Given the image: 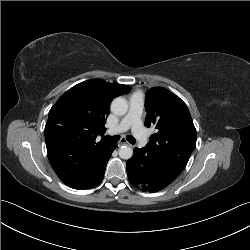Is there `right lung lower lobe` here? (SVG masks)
Returning a JSON list of instances; mask_svg holds the SVG:
<instances>
[{
	"label": "right lung lower lobe",
	"instance_id": "98d812e1",
	"mask_svg": "<svg viewBox=\"0 0 250 250\" xmlns=\"http://www.w3.org/2000/svg\"><path fill=\"white\" fill-rule=\"evenodd\" d=\"M117 147V144L115 143H112L108 148L107 150L105 151L104 155H103V158L99 164V167H98V170H97V175H96V178L94 179V181L88 186L86 187L85 189L87 188H92L96 185H98L102 179H103V175H104V172H105V168H106V165H107V162L108 160L110 159V156L113 152V150Z\"/></svg>",
	"mask_w": 250,
	"mask_h": 250
}]
</instances>
